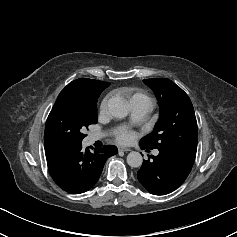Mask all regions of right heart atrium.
<instances>
[{
  "mask_svg": "<svg viewBox=\"0 0 237 237\" xmlns=\"http://www.w3.org/2000/svg\"><path fill=\"white\" fill-rule=\"evenodd\" d=\"M107 101H108V97H105V98L102 100V102H101L100 110H101L102 112L105 111V109H106Z\"/></svg>",
  "mask_w": 237,
  "mask_h": 237,
  "instance_id": "obj_1",
  "label": "right heart atrium"
}]
</instances>
